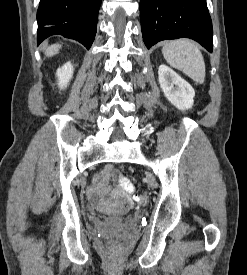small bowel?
<instances>
[{
	"mask_svg": "<svg viewBox=\"0 0 247 275\" xmlns=\"http://www.w3.org/2000/svg\"><path fill=\"white\" fill-rule=\"evenodd\" d=\"M133 192L130 181L119 172L112 173L110 165L104 168L102 179H96L87 188L88 197L99 208L114 206L127 210L133 205ZM106 195L110 196L109 200Z\"/></svg>",
	"mask_w": 247,
	"mask_h": 275,
	"instance_id": "c3829d8e",
	"label": "small bowel"
}]
</instances>
